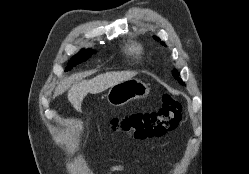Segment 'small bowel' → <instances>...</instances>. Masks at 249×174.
Masks as SVG:
<instances>
[{
	"mask_svg": "<svg viewBox=\"0 0 249 174\" xmlns=\"http://www.w3.org/2000/svg\"><path fill=\"white\" fill-rule=\"evenodd\" d=\"M119 171H123V166H121V165H114V166H112L108 170L107 174H113V173L119 172Z\"/></svg>",
	"mask_w": 249,
	"mask_h": 174,
	"instance_id": "1",
	"label": "small bowel"
}]
</instances>
